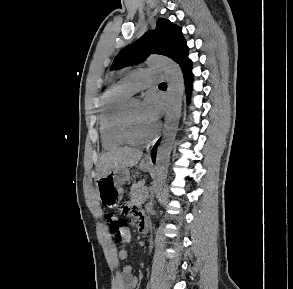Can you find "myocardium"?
Masks as SVG:
<instances>
[{
	"instance_id": "1",
	"label": "myocardium",
	"mask_w": 293,
	"mask_h": 289,
	"mask_svg": "<svg viewBox=\"0 0 293 289\" xmlns=\"http://www.w3.org/2000/svg\"><path fill=\"white\" fill-rule=\"evenodd\" d=\"M130 105L131 103L128 102L124 108L123 120H122L123 135L127 143L130 145H133V146L146 145L156 138L159 132V127L158 125H155L152 133L148 137L143 139L137 138L133 132L132 119L130 114Z\"/></svg>"
}]
</instances>
